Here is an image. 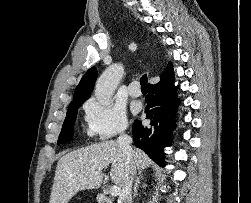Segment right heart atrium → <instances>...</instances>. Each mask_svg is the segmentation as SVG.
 <instances>
[{
    "instance_id": "right-heart-atrium-1",
    "label": "right heart atrium",
    "mask_w": 251,
    "mask_h": 203,
    "mask_svg": "<svg viewBox=\"0 0 251 203\" xmlns=\"http://www.w3.org/2000/svg\"><path fill=\"white\" fill-rule=\"evenodd\" d=\"M88 131L102 140H108L123 133L128 121L124 110L115 105H106L91 98L85 105Z\"/></svg>"
}]
</instances>
